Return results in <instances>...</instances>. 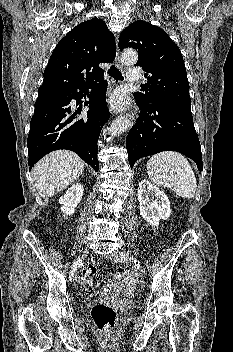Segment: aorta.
I'll use <instances>...</instances> for the list:
<instances>
[{
    "label": "aorta",
    "instance_id": "1",
    "mask_svg": "<svg viewBox=\"0 0 233 352\" xmlns=\"http://www.w3.org/2000/svg\"><path fill=\"white\" fill-rule=\"evenodd\" d=\"M121 59L125 63L134 64L138 59L137 52L134 50H125L121 55ZM129 126H130V120L128 118L126 117L117 118L110 125L109 134L111 136L120 135L123 132H125Z\"/></svg>",
    "mask_w": 233,
    "mask_h": 352
}]
</instances>
